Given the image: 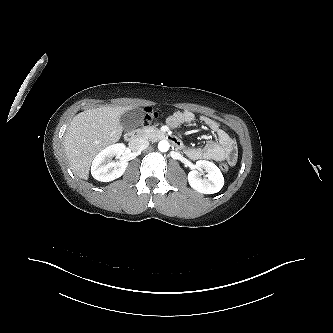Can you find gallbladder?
Returning <instances> with one entry per match:
<instances>
[{
  "label": "gallbladder",
  "mask_w": 333,
  "mask_h": 333,
  "mask_svg": "<svg viewBox=\"0 0 333 333\" xmlns=\"http://www.w3.org/2000/svg\"><path fill=\"white\" fill-rule=\"evenodd\" d=\"M142 118L143 111L138 109L129 110L121 115L120 123L125 131L131 132L139 125Z\"/></svg>",
  "instance_id": "bac80fb5"
}]
</instances>
